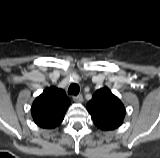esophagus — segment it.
Listing matches in <instances>:
<instances>
[{
	"mask_svg": "<svg viewBox=\"0 0 160 158\" xmlns=\"http://www.w3.org/2000/svg\"><path fill=\"white\" fill-rule=\"evenodd\" d=\"M73 100L75 102H82L83 101V96L81 94H79L77 96H73Z\"/></svg>",
	"mask_w": 160,
	"mask_h": 158,
	"instance_id": "1",
	"label": "esophagus"
}]
</instances>
